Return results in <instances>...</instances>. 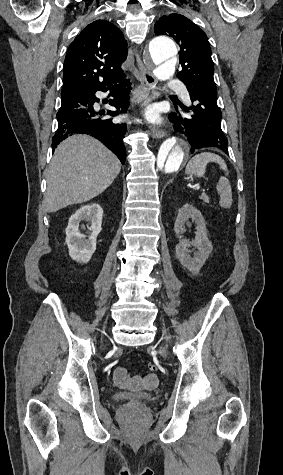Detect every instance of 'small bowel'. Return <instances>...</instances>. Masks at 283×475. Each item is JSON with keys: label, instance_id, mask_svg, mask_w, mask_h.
<instances>
[{"label": "small bowel", "instance_id": "c3829d8e", "mask_svg": "<svg viewBox=\"0 0 283 475\" xmlns=\"http://www.w3.org/2000/svg\"><path fill=\"white\" fill-rule=\"evenodd\" d=\"M131 378L127 373L126 369L123 367H117L113 372V382L114 384L121 388L126 389L130 386ZM143 382L147 388L154 387L158 382V377L155 374H148L143 377ZM134 384L140 383L139 374L135 373L133 378Z\"/></svg>", "mask_w": 283, "mask_h": 475}]
</instances>
